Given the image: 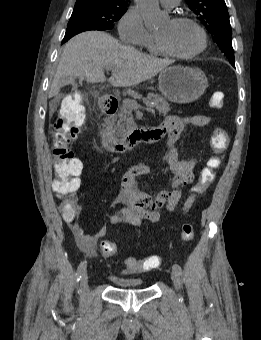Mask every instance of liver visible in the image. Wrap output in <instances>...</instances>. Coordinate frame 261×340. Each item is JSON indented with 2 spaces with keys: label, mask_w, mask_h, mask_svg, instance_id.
I'll use <instances>...</instances> for the list:
<instances>
[{
  "label": "liver",
  "mask_w": 261,
  "mask_h": 340,
  "mask_svg": "<svg viewBox=\"0 0 261 340\" xmlns=\"http://www.w3.org/2000/svg\"><path fill=\"white\" fill-rule=\"evenodd\" d=\"M172 61L157 59L134 47L121 45L110 34L88 31L76 35L65 45L49 96L56 97L60 88L79 77L88 83L106 81L104 67L114 68L109 83L130 87L151 79Z\"/></svg>",
  "instance_id": "obj_1"
}]
</instances>
